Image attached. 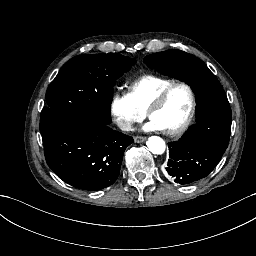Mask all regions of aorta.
Masks as SVG:
<instances>
[{"label":"aorta","mask_w":256,"mask_h":256,"mask_svg":"<svg viewBox=\"0 0 256 256\" xmlns=\"http://www.w3.org/2000/svg\"><path fill=\"white\" fill-rule=\"evenodd\" d=\"M147 147L152 154L163 155L166 151L165 141L158 136H152L147 142Z\"/></svg>","instance_id":"1"}]
</instances>
